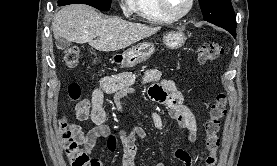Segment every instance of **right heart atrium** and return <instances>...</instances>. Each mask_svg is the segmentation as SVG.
Returning <instances> with one entry per match:
<instances>
[{
	"label": "right heart atrium",
	"mask_w": 277,
	"mask_h": 166,
	"mask_svg": "<svg viewBox=\"0 0 277 166\" xmlns=\"http://www.w3.org/2000/svg\"><path fill=\"white\" fill-rule=\"evenodd\" d=\"M132 0H120V4L124 10H127L131 7Z\"/></svg>",
	"instance_id": "right-heart-atrium-1"
}]
</instances>
